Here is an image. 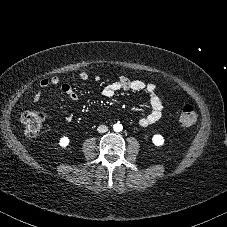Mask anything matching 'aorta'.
I'll return each mask as SVG.
<instances>
[{"label": "aorta", "mask_w": 227, "mask_h": 227, "mask_svg": "<svg viewBox=\"0 0 227 227\" xmlns=\"http://www.w3.org/2000/svg\"><path fill=\"white\" fill-rule=\"evenodd\" d=\"M114 131H116V132L122 131V125L121 124H115L114 125Z\"/></svg>", "instance_id": "aorta-1"}]
</instances>
